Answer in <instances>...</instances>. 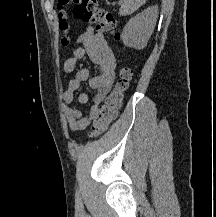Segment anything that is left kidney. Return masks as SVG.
Masks as SVG:
<instances>
[{"label": "left kidney", "instance_id": "obj_1", "mask_svg": "<svg viewBox=\"0 0 216 217\" xmlns=\"http://www.w3.org/2000/svg\"><path fill=\"white\" fill-rule=\"evenodd\" d=\"M157 17L158 9L153 6L131 18L122 31L124 45L143 49L153 33Z\"/></svg>", "mask_w": 216, "mask_h": 217}]
</instances>
